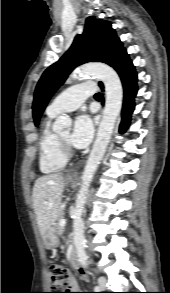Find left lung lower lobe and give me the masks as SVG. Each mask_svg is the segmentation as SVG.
Wrapping results in <instances>:
<instances>
[{"label":"left lung lower lobe","instance_id":"left-lung-lower-lobe-1","mask_svg":"<svg viewBox=\"0 0 170 293\" xmlns=\"http://www.w3.org/2000/svg\"><path fill=\"white\" fill-rule=\"evenodd\" d=\"M112 67L119 74L124 87V103L120 125V133H124L129 126L131 114L134 110V97L137 93V74L126 51L116 58ZM100 86L103 88L102 83H100Z\"/></svg>","mask_w":170,"mask_h":293}]
</instances>
